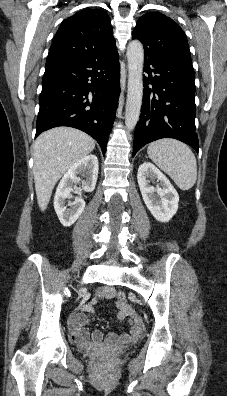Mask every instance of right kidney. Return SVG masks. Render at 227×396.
Here are the masks:
<instances>
[{
    "instance_id": "right-kidney-1",
    "label": "right kidney",
    "mask_w": 227,
    "mask_h": 396,
    "mask_svg": "<svg viewBox=\"0 0 227 396\" xmlns=\"http://www.w3.org/2000/svg\"><path fill=\"white\" fill-rule=\"evenodd\" d=\"M98 159L95 155H88L78 160L62 177L54 197V209L63 226L69 227L79 218L85 208V201L82 191L92 192L98 177ZM78 175H85L82 181V188L77 189L76 183L80 180ZM78 194L73 202H68L73 196Z\"/></svg>"
}]
</instances>
